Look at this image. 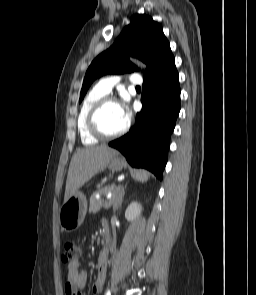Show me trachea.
I'll return each instance as SVG.
<instances>
[{
  "label": "trachea",
  "instance_id": "obj_1",
  "mask_svg": "<svg viewBox=\"0 0 256 295\" xmlns=\"http://www.w3.org/2000/svg\"><path fill=\"white\" fill-rule=\"evenodd\" d=\"M136 89H140V87L139 86H136Z\"/></svg>",
  "mask_w": 256,
  "mask_h": 295
}]
</instances>
